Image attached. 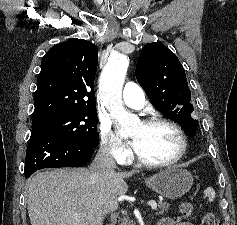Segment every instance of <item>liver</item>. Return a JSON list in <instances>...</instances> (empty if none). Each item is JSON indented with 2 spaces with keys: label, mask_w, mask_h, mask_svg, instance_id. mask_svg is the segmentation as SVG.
<instances>
[{
  "label": "liver",
  "mask_w": 237,
  "mask_h": 225,
  "mask_svg": "<svg viewBox=\"0 0 237 225\" xmlns=\"http://www.w3.org/2000/svg\"><path fill=\"white\" fill-rule=\"evenodd\" d=\"M137 171L95 175L89 168H61L38 172L27 184L31 225H102L107 212L126 194L124 178Z\"/></svg>",
  "instance_id": "1"
}]
</instances>
